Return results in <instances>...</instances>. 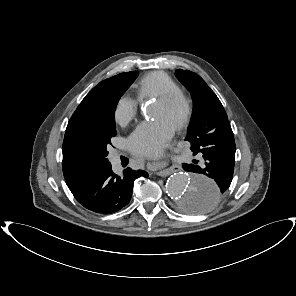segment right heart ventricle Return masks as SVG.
<instances>
[{
    "mask_svg": "<svg viewBox=\"0 0 296 296\" xmlns=\"http://www.w3.org/2000/svg\"><path fill=\"white\" fill-rule=\"evenodd\" d=\"M175 91H180L178 83L168 74L160 71L144 75L136 85L137 98L140 101Z\"/></svg>",
    "mask_w": 296,
    "mask_h": 296,
    "instance_id": "1",
    "label": "right heart ventricle"
}]
</instances>
